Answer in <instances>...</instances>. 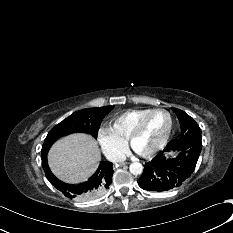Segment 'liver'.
<instances>
[{
	"label": "liver",
	"mask_w": 233,
	"mask_h": 233,
	"mask_svg": "<svg viewBox=\"0 0 233 233\" xmlns=\"http://www.w3.org/2000/svg\"><path fill=\"white\" fill-rule=\"evenodd\" d=\"M101 159L97 142L87 134L68 135L52 147L48 163L52 172L68 183H80L96 170Z\"/></svg>",
	"instance_id": "obj_1"
}]
</instances>
